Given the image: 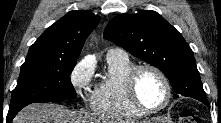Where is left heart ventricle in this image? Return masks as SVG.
<instances>
[{
    "mask_svg": "<svg viewBox=\"0 0 221 123\" xmlns=\"http://www.w3.org/2000/svg\"><path fill=\"white\" fill-rule=\"evenodd\" d=\"M136 88L139 99L149 108H156L165 100V86L153 71H143L137 79Z\"/></svg>",
    "mask_w": 221,
    "mask_h": 123,
    "instance_id": "1",
    "label": "left heart ventricle"
}]
</instances>
